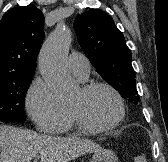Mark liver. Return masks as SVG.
I'll return each mask as SVG.
<instances>
[{"instance_id": "liver-1", "label": "liver", "mask_w": 168, "mask_h": 162, "mask_svg": "<svg viewBox=\"0 0 168 162\" xmlns=\"http://www.w3.org/2000/svg\"><path fill=\"white\" fill-rule=\"evenodd\" d=\"M101 147L86 139L40 135L28 129L0 125V162H69Z\"/></svg>"}]
</instances>
